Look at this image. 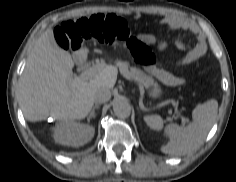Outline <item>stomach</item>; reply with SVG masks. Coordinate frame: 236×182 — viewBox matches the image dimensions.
Instances as JSON below:
<instances>
[{
    "label": "stomach",
    "mask_w": 236,
    "mask_h": 182,
    "mask_svg": "<svg viewBox=\"0 0 236 182\" xmlns=\"http://www.w3.org/2000/svg\"><path fill=\"white\" fill-rule=\"evenodd\" d=\"M146 69L154 74H156L157 76H162L163 75V71L157 69L156 67H146ZM161 95V89L158 86H154V88L151 90L150 92V96L153 98H157Z\"/></svg>",
    "instance_id": "1"
}]
</instances>
